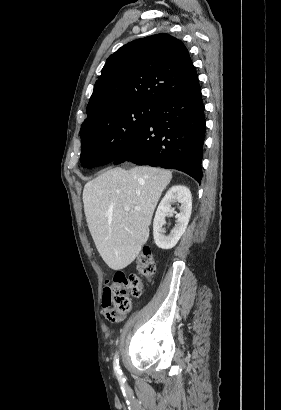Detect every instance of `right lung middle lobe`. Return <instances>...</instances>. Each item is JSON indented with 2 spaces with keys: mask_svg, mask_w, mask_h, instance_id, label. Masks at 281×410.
<instances>
[{
  "mask_svg": "<svg viewBox=\"0 0 281 410\" xmlns=\"http://www.w3.org/2000/svg\"><path fill=\"white\" fill-rule=\"evenodd\" d=\"M153 106L113 108L85 121L80 130V161L91 168L113 162L150 122Z\"/></svg>",
  "mask_w": 281,
  "mask_h": 410,
  "instance_id": "right-lung-middle-lobe-1",
  "label": "right lung middle lobe"
}]
</instances>
